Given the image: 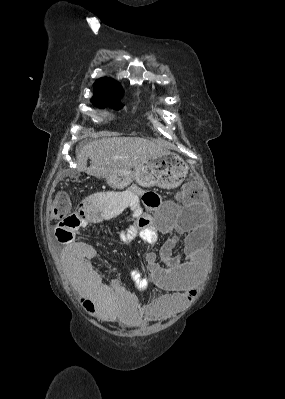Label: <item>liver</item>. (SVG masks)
Listing matches in <instances>:
<instances>
[{"label":"liver","instance_id":"liver-1","mask_svg":"<svg viewBox=\"0 0 285 399\" xmlns=\"http://www.w3.org/2000/svg\"><path fill=\"white\" fill-rule=\"evenodd\" d=\"M157 143L140 137H106L83 145L76 153L78 172L95 177L114 176L164 153ZM91 159L87 167V159Z\"/></svg>","mask_w":285,"mask_h":399}]
</instances>
